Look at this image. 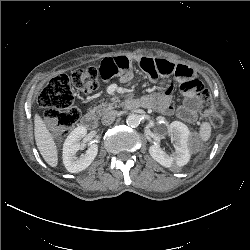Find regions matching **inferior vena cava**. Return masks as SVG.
I'll list each match as a JSON object with an SVG mask.
<instances>
[{
    "label": "inferior vena cava",
    "instance_id": "1",
    "mask_svg": "<svg viewBox=\"0 0 250 250\" xmlns=\"http://www.w3.org/2000/svg\"><path fill=\"white\" fill-rule=\"evenodd\" d=\"M117 116H118V111L116 110L108 111L102 116L101 122L103 125H110L114 122Z\"/></svg>",
    "mask_w": 250,
    "mask_h": 250
}]
</instances>
